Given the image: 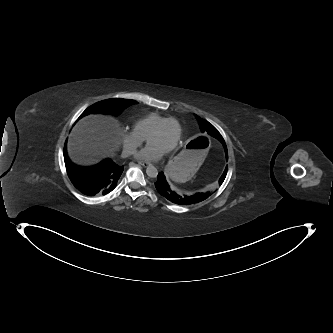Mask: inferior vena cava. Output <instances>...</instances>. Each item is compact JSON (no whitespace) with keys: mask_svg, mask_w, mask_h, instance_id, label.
<instances>
[{"mask_svg":"<svg viewBox=\"0 0 333 333\" xmlns=\"http://www.w3.org/2000/svg\"><path fill=\"white\" fill-rule=\"evenodd\" d=\"M137 152L136 148H124L122 151V157L126 158L130 155H133Z\"/></svg>","mask_w":333,"mask_h":333,"instance_id":"obj_1","label":"inferior vena cava"}]
</instances>
